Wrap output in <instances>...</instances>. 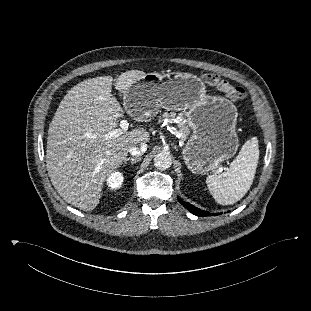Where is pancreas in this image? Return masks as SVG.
Returning a JSON list of instances; mask_svg holds the SVG:
<instances>
[{"mask_svg":"<svg viewBox=\"0 0 311 311\" xmlns=\"http://www.w3.org/2000/svg\"><path fill=\"white\" fill-rule=\"evenodd\" d=\"M177 120L178 123V128H179V135H180V139L182 141L186 140L187 136L190 133L189 127L187 125V121L184 118V114L183 113H179L176 116V113L171 112V113H167L165 112L163 115H161L159 117V123L164 122L165 120H167L168 122H173L174 120Z\"/></svg>","mask_w":311,"mask_h":311,"instance_id":"pancreas-1","label":"pancreas"}]
</instances>
